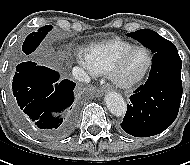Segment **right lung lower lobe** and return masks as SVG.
Masks as SVG:
<instances>
[{
    "instance_id": "98d812e1",
    "label": "right lung lower lobe",
    "mask_w": 190,
    "mask_h": 165,
    "mask_svg": "<svg viewBox=\"0 0 190 165\" xmlns=\"http://www.w3.org/2000/svg\"><path fill=\"white\" fill-rule=\"evenodd\" d=\"M59 80V74L35 62L17 65L13 77L11 104L15 116L27 128L42 130L47 136L68 135L75 122L72 106L75 83Z\"/></svg>"
}]
</instances>
